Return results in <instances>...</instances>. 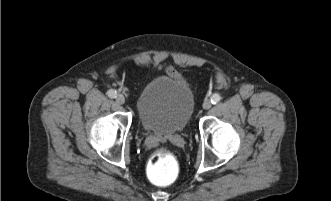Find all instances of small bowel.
Returning a JSON list of instances; mask_svg holds the SVG:
<instances>
[{"mask_svg": "<svg viewBox=\"0 0 331 201\" xmlns=\"http://www.w3.org/2000/svg\"><path fill=\"white\" fill-rule=\"evenodd\" d=\"M166 72L168 75H170L176 79H181V75L172 67L167 68Z\"/></svg>", "mask_w": 331, "mask_h": 201, "instance_id": "1", "label": "small bowel"}]
</instances>
